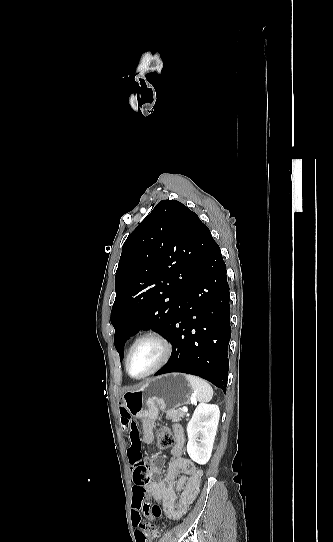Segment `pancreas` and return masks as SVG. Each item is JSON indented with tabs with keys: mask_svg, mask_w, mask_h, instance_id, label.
<instances>
[{
	"mask_svg": "<svg viewBox=\"0 0 333 542\" xmlns=\"http://www.w3.org/2000/svg\"><path fill=\"white\" fill-rule=\"evenodd\" d=\"M166 418L167 420H172V422H179L181 418H188L186 412H182V410H168L166 412Z\"/></svg>",
	"mask_w": 333,
	"mask_h": 542,
	"instance_id": "pancreas-1",
	"label": "pancreas"
}]
</instances>
